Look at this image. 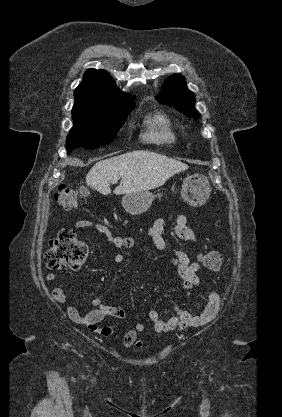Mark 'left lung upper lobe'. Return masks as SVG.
Wrapping results in <instances>:
<instances>
[{
	"label": "left lung upper lobe",
	"mask_w": 282,
	"mask_h": 417,
	"mask_svg": "<svg viewBox=\"0 0 282 417\" xmlns=\"http://www.w3.org/2000/svg\"><path fill=\"white\" fill-rule=\"evenodd\" d=\"M156 98L162 103L175 106L178 111L188 117L197 119L200 116L194 108L195 95L187 89L185 78L181 75L170 76Z\"/></svg>",
	"instance_id": "obj_1"
}]
</instances>
